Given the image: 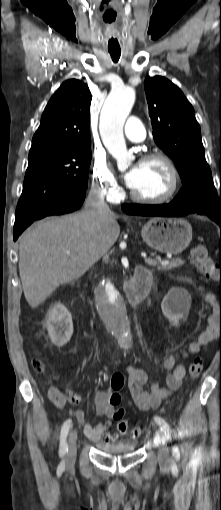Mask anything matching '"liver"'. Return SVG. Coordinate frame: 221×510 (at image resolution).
<instances>
[{
    "instance_id": "1",
    "label": "liver",
    "mask_w": 221,
    "mask_h": 510,
    "mask_svg": "<svg viewBox=\"0 0 221 510\" xmlns=\"http://www.w3.org/2000/svg\"><path fill=\"white\" fill-rule=\"evenodd\" d=\"M117 216L91 209L50 218L28 228L19 238V273L32 308L60 285L72 282L114 245L120 234ZM69 252V253H68Z\"/></svg>"
}]
</instances>
